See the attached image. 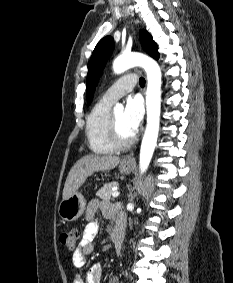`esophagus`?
<instances>
[{"instance_id":"obj_1","label":"esophagus","mask_w":233,"mask_h":283,"mask_svg":"<svg viewBox=\"0 0 233 283\" xmlns=\"http://www.w3.org/2000/svg\"><path fill=\"white\" fill-rule=\"evenodd\" d=\"M132 15H133V13H132ZM123 162H125V163H132V162H134L133 154H129L126 157H124Z\"/></svg>"}]
</instances>
